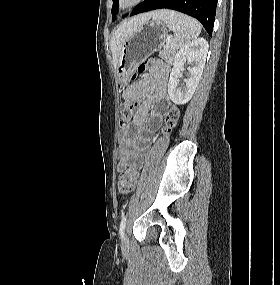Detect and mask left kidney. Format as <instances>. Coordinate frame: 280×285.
Here are the masks:
<instances>
[{
  "mask_svg": "<svg viewBox=\"0 0 280 285\" xmlns=\"http://www.w3.org/2000/svg\"><path fill=\"white\" fill-rule=\"evenodd\" d=\"M208 47V42L199 38L183 46L177 52L168 83V94L175 104H186L193 96L205 66ZM186 61L192 66L187 68L188 76L184 79L185 86L178 87Z\"/></svg>",
  "mask_w": 280,
  "mask_h": 285,
  "instance_id": "1",
  "label": "left kidney"
}]
</instances>
